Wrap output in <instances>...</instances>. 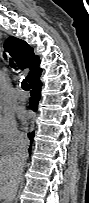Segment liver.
Masks as SVG:
<instances>
[{"label": "liver", "instance_id": "liver-1", "mask_svg": "<svg viewBox=\"0 0 89 203\" xmlns=\"http://www.w3.org/2000/svg\"><path fill=\"white\" fill-rule=\"evenodd\" d=\"M18 162L14 156L6 155L0 157V198L7 202L13 198L19 178Z\"/></svg>", "mask_w": 89, "mask_h": 203}]
</instances>
